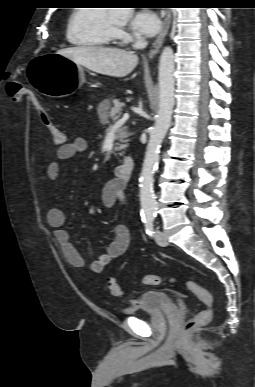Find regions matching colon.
I'll use <instances>...</instances> for the list:
<instances>
[{
  "label": "colon",
  "mask_w": 255,
  "mask_h": 387,
  "mask_svg": "<svg viewBox=\"0 0 255 387\" xmlns=\"http://www.w3.org/2000/svg\"><path fill=\"white\" fill-rule=\"evenodd\" d=\"M25 89L26 88L17 80H10L6 84L7 96L12 102L18 101L21 95L25 93ZM34 105L40 115L43 125L50 132L54 144L57 147L64 145L66 143V137L54 124L47 109H45L38 100L34 101ZM168 280L171 283L177 281L176 278H169ZM162 281L163 278L159 275H145L142 279L143 284L150 286L160 285ZM184 285L206 306L204 310L200 311L196 316L186 322L182 332L183 334H187L206 325L210 321L213 314V297L208 290L192 280H185ZM107 289L114 297H120L122 295L121 286L113 279L108 280Z\"/></svg>",
  "instance_id": "5ec220e1"
}]
</instances>
